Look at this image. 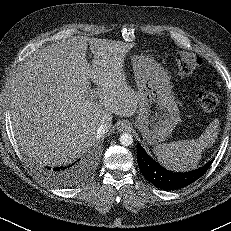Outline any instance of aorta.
<instances>
[{
  "mask_svg": "<svg viewBox=\"0 0 231 231\" xmlns=\"http://www.w3.org/2000/svg\"><path fill=\"white\" fill-rule=\"evenodd\" d=\"M119 140L123 146H130L133 143V137L129 133H122Z\"/></svg>",
  "mask_w": 231,
  "mask_h": 231,
  "instance_id": "1",
  "label": "aorta"
}]
</instances>
